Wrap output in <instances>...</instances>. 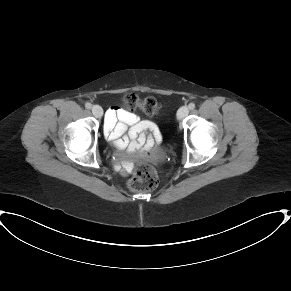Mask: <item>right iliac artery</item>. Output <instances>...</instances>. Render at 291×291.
Here are the masks:
<instances>
[{
	"mask_svg": "<svg viewBox=\"0 0 291 291\" xmlns=\"http://www.w3.org/2000/svg\"><path fill=\"white\" fill-rule=\"evenodd\" d=\"M85 107H86L87 109H91V107H92V104H91V103H89V102H87V103L85 104Z\"/></svg>",
	"mask_w": 291,
	"mask_h": 291,
	"instance_id": "1",
	"label": "right iliac artery"
}]
</instances>
